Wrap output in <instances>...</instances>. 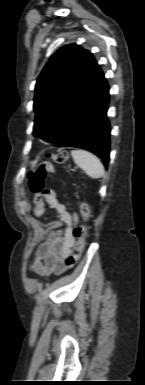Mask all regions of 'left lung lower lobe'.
I'll return each mask as SVG.
<instances>
[{"label":"left lung lower lobe","instance_id":"left-lung-lower-lobe-1","mask_svg":"<svg viewBox=\"0 0 145 385\" xmlns=\"http://www.w3.org/2000/svg\"><path fill=\"white\" fill-rule=\"evenodd\" d=\"M109 87L98 66L84 93L64 117L50 142L57 147H78L95 153L107 166L110 125L107 119Z\"/></svg>","mask_w":145,"mask_h":385}]
</instances>
